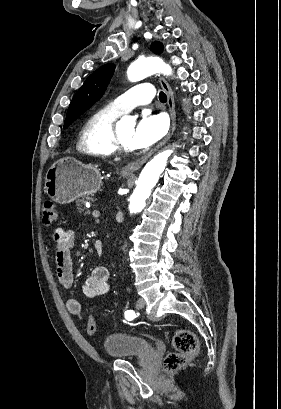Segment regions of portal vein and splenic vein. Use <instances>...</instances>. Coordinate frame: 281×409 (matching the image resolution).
Masks as SVG:
<instances>
[{
  "mask_svg": "<svg viewBox=\"0 0 281 409\" xmlns=\"http://www.w3.org/2000/svg\"><path fill=\"white\" fill-rule=\"evenodd\" d=\"M100 211H101V208L99 207V206H96L95 208H94V211H93V216H94V218L95 219H100L101 218V213H100Z\"/></svg>",
  "mask_w": 281,
  "mask_h": 409,
  "instance_id": "1",
  "label": "portal vein and splenic vein"
}]
</instances>
